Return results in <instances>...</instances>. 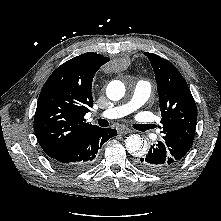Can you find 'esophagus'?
<instances>
[{
	"mask_svg": "<svg viewBox=\"0 0 221 221\" xmlns=\"http://www.w3.org/2000/svg\"><path fill=\"white\" fill-rule=\"evenodd\" d=\"M118 132L119 134H128V133H131L132 131L129 128L121 127L119 128Z\"/></svg>",
	"mask_w": 221,
	"mask_h": 221,
	"instance_id": "34e87169",
	"label": "esophagus"
}]
</instances>
